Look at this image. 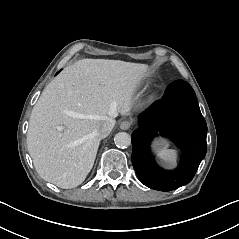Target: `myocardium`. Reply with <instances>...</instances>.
Returning a JSON list of instances; mask_svg holds the SVG:
<instances>
[{
  "instance_id": "1",
  "label": "myocardium",
  "mask_w": 239,
  "mask_h": 239,
  "mask_svg": "<svg viewBox=\"0 0 239 239\" xmlns=\"http://www.w3.org/2000/svg\"><path fill=\"white\" fill-rule=\"evenodd\" d=\"M157 94H158V91L157 90H155L153 93H152V95H151V99H155L156 97H157Z\"/></svg>"
}]
</instances>
